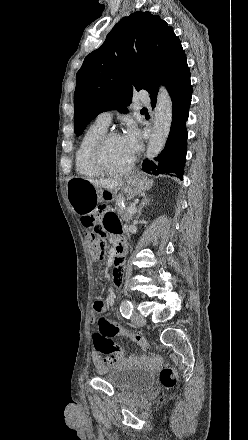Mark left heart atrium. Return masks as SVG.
I'll return each mask as SVG.
<instances>
[{
  "label": "left heart atrium",
  "instance_id": "left-heart-atrium-1",
  "mask_svg": "<svg viewBox=\"0 0 248 440\" xmlns=\"http://www.w3.org/2000/svg\"><path fill=\"white\" fill-rule=\"evenodd\" d=\"M122 139L128 152L134 156L140 148L139 133L136 127L134 125H130Z\"/></svg>",
  "mask_w": 248,
  "mask_h": 440
}]
</instances>
